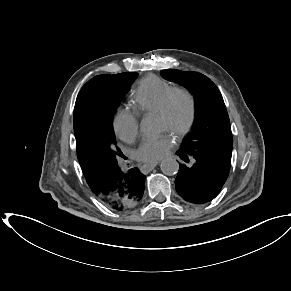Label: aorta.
<instances>
[{
	"instance_id": "1",
	"label": "aorta",
	"mask_w": 291,
	"mask_h": 291,
	"mask_svg": "<svg viewBox=\"0 0 291 291\" xmlns=\"http://www.w3.org/2000/svg\"><path fill=\"white\" fill-rule=\"evenodd\" d=\"M140 130L145 134H150L152 132V127L147 122H142L140 125ZM161 171L168 176L175 175L179 170V164L174 158H167L161 162Z\"/></svg>"
}]
</instances>
